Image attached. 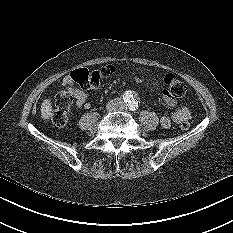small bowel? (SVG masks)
Listing matches in <instances>:
<instances>
[{
  "mask_svg": "<svg viewBox=\"0 0 233 233\" xmlns=\"http://www.w3.org/2000/svg\"><path fill=\"white\" fill-rule=\"evenodd\" d=\"M63 84L67 87L72 97L75 99L76 106L79 109H89L91 104L89 102V93L84 90L75 88L72 86L69 77L64 78ZM164 100L170 108H175L177 102L164 92ZM191 118V111L186 106L177 108L171 116H162L160 124L163 128L168 129L172 124H181L184 121H188Z\"/></svg>",
  "mask_w": 233,
  "mask_h": 233,
  "instance_id": "c3829d8e",
  "label": "small bowel"
}]
</instances>
